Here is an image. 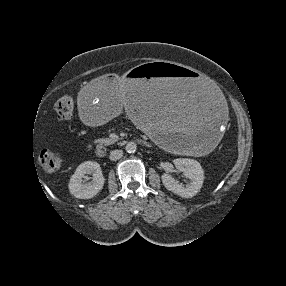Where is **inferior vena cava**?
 <instances>
[{"instance_id": "obj_1", "label": "inferior vena cava", "mask_w": 286, "mask_h": 286, "mask_svg": "<svg viewBox=\"0 0 286 286\" xmlns=\"http://www.w3.org/2000/svg\"><path fill=\"white\" fill-rule=\"evenodd\" d=\"M123 155V151L122 150H113L110 152L109 158L112 161H116L118 159H120Z\"/></svg>"}]
</instances>
